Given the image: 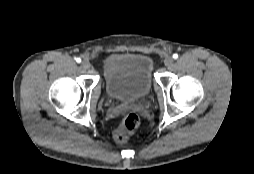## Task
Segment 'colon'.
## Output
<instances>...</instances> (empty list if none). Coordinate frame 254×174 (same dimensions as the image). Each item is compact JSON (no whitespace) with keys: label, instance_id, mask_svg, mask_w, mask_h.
<instances>
[{"label":"colon","instance_id":"obj_1","mask_svg":"<svg viewBox=\"0 0 254 174\" xmlns=\"http://www.w3.org/2000/svg\"><path fill=\"white\" fill-rule=\"evenodd\" d=\"M140 127V118L134 114H127L120 124L113 131V139L120 144L128 141L129 137L132 136Z\"/></svg>","mask_w":254,"mask_h":174}]
</instances>
